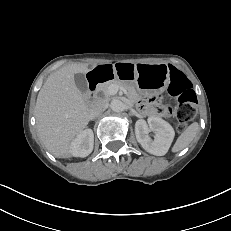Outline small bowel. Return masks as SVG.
<instances>
[{"label": "small bowel", "instance_id": "small-bowel-1", "mask_svg": "<svg viewBox=\"0 0 231 231\" xmlns=\"http://www.w3.org/2000/svg\"><path fill=\"white\" fill-rule=\"evenodd\" d=\"M148 109L151 110V111L153 110L152 108H148Z\"/></svg>", "mask_w": 231, "mask_h": 231}]
</instances>
